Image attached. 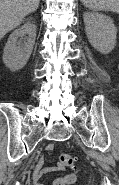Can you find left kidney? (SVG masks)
Returning <instances> with one entry per match:
<instances>
[{"label": "left kidney", "mask_w": 119, "mask_h": 185, "mask_svg": "<svg viewBox=\"0 0 119 185\" xmlns=\"http://www.w3.org/2000/svg\"><path fill=\"white\" fill-rule=\"evenodd\" d=\"M85 31L89 43L102 54L110 53L116 44L117 28L113 20L98 12L83 14Z\"/></svg>", "instance_id": "left-kidney-1"}]
</instances>
